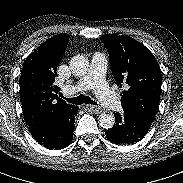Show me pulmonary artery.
<instances>
[{
	"label": "pulmonary artery",
	"instance_id": "1",
	"mask_svg": "<svg viewBox=\"0 0 183 183\" xmlns=\"http://www.w3.org/2000/svg\"><path fill=\"white\" fill-rule=\"evenodd\" d=\"M107 64L108 61L105 54L100 52L94 53L89 71L74 85L66 87L65 92L73 94L93 89L97 97L106 107L112 110H119L121 108V102L105 81Z\"/></svg>",
	"mask_w": 183,
	"mask_h": 183
}]
</instances>
